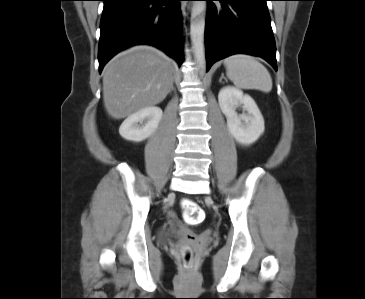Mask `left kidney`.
<instances>
[{
  "label": "left kidney",
  "mask_w": 365,
  "mask_h": 299,
  "mask_svg": "<svg viewBox=\"0 0 365 299\" xmlns=\"http://www.w3.org/2000/svg\"><path fill=\"white\" fill-rule=\"evenodd\" d=\"M218 102L227 119V127L232 137L242 145H251L264 132V119L255 101L234 87H224L218 94ZM242 107L247 114L238 115L236 109Z\"/></svg>",
  "instance_id": "left-kidney-1"
}]
</instances>
